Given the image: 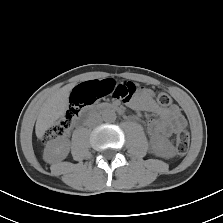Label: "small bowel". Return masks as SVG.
<instances>
[{
    "instance_id": "1",
    "label": "small bowel",
    "mask_w": 223,
    "mask_h": 223,
    "mask_svg": "<svg viewBox=\"0 0 223 223\" xmlns=\"http://www.w3.org/2000/svg\"><path fill=\"white\" fill-rule=\"evenodd\" d=\"M127 102L133 109L151 112L157 116V119L147 120V129L153 138L169 137L187 125L179 108L177 106L161 107L155 100V94L151 89H142L135 98Z\"/></svg>"
}]
</instances>
